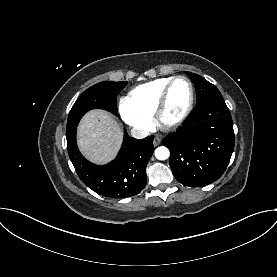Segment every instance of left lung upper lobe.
Here are the masks:
<instances>
[{
    "label": "left lung upper lobe",
    "instance_id": "left-lung-upper-lobe-1",
    "mask_svg": "<svg viewBox=\"0 0 277 277\" xmlns=\"http://www.w3.org/2000/svg\"><path fill=\"white\" fill-rule=\"evenodd\" d=\"M185 73L189 76V78L192 80V82L195 85L196 95H197L196 106L202 104L203 102H205L206 100L212 97L222 96L219 90L216 88V86L208 82L203 77L187 71Z\"/></svg>",
    "mask_w": 277,
    "mask_h": 277
}]
</instances>
